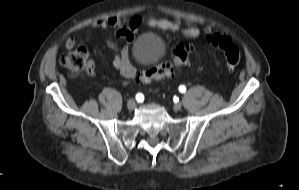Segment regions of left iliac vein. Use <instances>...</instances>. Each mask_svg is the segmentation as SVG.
Instances as JSON below:
<instances>
[{
  "mask_svg": "<svg viewBox=\"0 0 299 190\" xmlns=\"http://www.w3.org/2000/svg\"><path fill=\"white\" fill-rule=\"evenodd\" d=\"M174 110L179 111L182 108V103L177 102L173 105Z\"/></svg>",
  "mask_w": 299,
  "mask_h": 190,
  "instance_id": "4c4485c4",
  "label": "left iliac vein"
}]
</instances>
